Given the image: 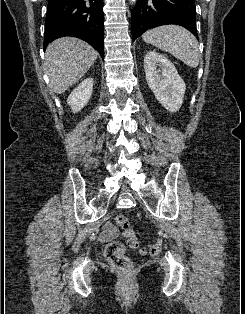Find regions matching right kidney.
I'll use <instances>...</instances> for the list:
<instances>
[{
    "mask_svg": "<svg viewBox=\"0 0 245 314\" xmlns=\"http://www.w3.org/2000/svg\"><path fill=\"white\" fill-rule=\"evenodd\" d=\"M93 82V78L85 79L69 95L67 103L73 113L79 112L89 102L93 92Z\"/></svg>",
    "mask_w": 245,
    "mask_h": 314,
    "instance_id": "ca27d5eb",
    "label": "right kidney"
}]
</instances>
